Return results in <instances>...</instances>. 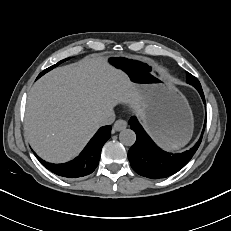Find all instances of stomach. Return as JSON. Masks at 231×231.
I'll return each instance as SVG.
<instances>
[{"label": "stomach", "mask_w": 231, "mask_h": 231, "mask_svg": "<svg viewBox=\"0 0 231 231\" xmlns=\"http://www.w3.org/2000/svg\"><path fill=\"white\" fill-rule=\"evenodd\" d=\"M104 59L137 87L145 104L143 124L155 141L170 150L187 144L193 132L192 111L164 70L141 56L119 54Z\"/></svg>", "instance_id": "obj_1"}]
</instances>
